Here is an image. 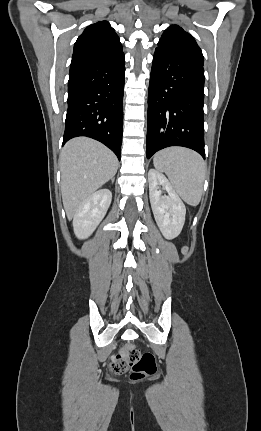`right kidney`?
Returning a JSON list of instances; mask_svg holds the SVG:
<instances>
[{"label":"right kidney","instance_id":"right-kidney-1","mask_svg":"<svg viewBox=\"0 0 261 431\" xmlns=\"http://www.w3.org/2000/svg\"><path fill=\"white\" fill-rule=\"evenodd\" d=\"M112 193L101 189L91 194L80 206L73 218V229L77 238H88L102 221L111 204Z\"/></svg>","mask_w":261,"mask_h":431}]
</instances>
